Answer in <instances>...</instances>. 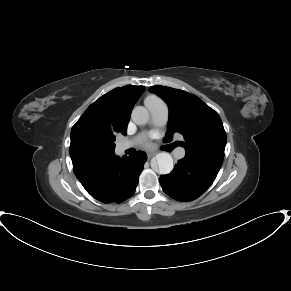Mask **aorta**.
Instances as JSON below:
<instances>
[{
  "label": "aorta",
  "mask_w": 291,
  "mask_h": 291,
  "mask_svg": "<svg viewBox=\"0 0 291 291\" xmlns=\"http://www.w3.org/2000/svg\"><path fill=\"white\" fill-rule=\"evenodd\" d=\"M149 112L143 106H137L132 111V120L137 125H144L149 121ZM160 174H169L173 170V158L167 152L158 153L155 157Z\"/></svg>",
  "instance_id": "1"
}]
</instances>
